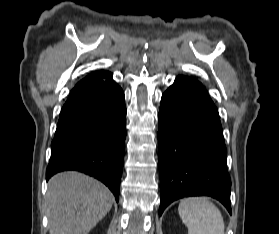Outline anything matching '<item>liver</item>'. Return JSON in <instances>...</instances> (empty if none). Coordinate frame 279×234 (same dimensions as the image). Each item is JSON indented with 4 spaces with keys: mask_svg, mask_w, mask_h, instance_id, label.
<instances>
[{
    "mask_svg": "<svg viewBox=\"0 0 279 234\" xmlns=\"http://www.w3.org/2000/svg\"><path fill=\"white\" fill-rule=\"evenodd\" d=\"M113 202L106 186L82 173L53 176L46 194L50 234H88L110 211Z\"/></svg>",
    "mask_w": 279,
    "mask_h": 234,
    "instance_id": "6515ba94",
    "label": "liver"
}]
</instances>
